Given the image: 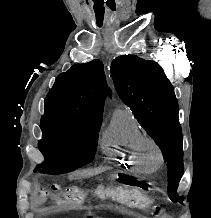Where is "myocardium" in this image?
Masks as SVG:
<instances>
[{
	"mask_svg": "<svg viewBox=\"0 0 211 218\" xmlns=\"http://www.w3.org/2000/svg\"><path fill=\"white\" fill-rule=\"evenodd\" d=\"M147 147H151L154 149L155 154H156V165L159 166L163 161L162 150H161L159 144L151 137H144L142 140L141 150H140V158H141L142 162L149 163L145 159V149Z\"/></svg>",
	"mask_w": 211,
	"mask_h": 218,
	"instance_id": "obj_1",
	"label": "myocardium"
}]
</instances>
